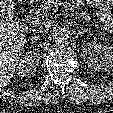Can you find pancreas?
I'll list each match as a JSON object with an SVG mask.
<instances>
[{"mask_svg":"<svg viewBox=\"0 0 113 113\" xmlns=\"http://www.w3.org/2000/svg\"><path fill=\"white\" fill-rule=\"evenodd\" d=\"M58 4L63 5L66 9H68L72 12H75V10H76V6L70 4L67 1L63 2L62 0H47V1H43L40 6H37L34 9L35 17H39L41 22L46 21L47 15L50 13L51 8ZM74 14L77 15L78 13L75 12Z\"/></svg>","mask_w":113,"mask_h":113,"instance_id":"1","label":"pancreas"}]
</instances>
